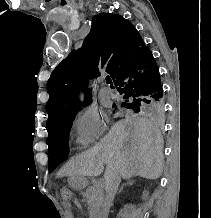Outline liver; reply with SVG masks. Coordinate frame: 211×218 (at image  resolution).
Wrapping results in <instances>:
<instances>
[{
	"instance_id": "1",
	"label": "liver",
	"mask_w": 211,
	"mask_h": 218,
	"mask_svg": "<svg viewBox=\"0 0 211 218\" xmlns=\"http://www.w3.org/2000/svg\"><path fill=\"white\" fill-rule=\"evenodd\" d=\"M163 140L159 130L147 118L120 120L93 150L75 156L63 168L65 176L77 172L79 176H98L103 172L119 174L125 180L141 176L156 180L161 176Z\"/></svg>"
}]
</instances>
